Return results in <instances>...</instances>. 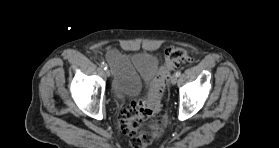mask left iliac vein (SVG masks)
Returning <instances> with one entry per match:
<instances>
[{
	"label": "left iliac vein",
	"instance_id": "obj_1",
	"mask_svg": "<svg viewBox=\"0 0 279 148\" xmlns=\"http://www.w3.org/2000/svg\"><path fill=\"white\" fill-rule=\"evenodd\" d=\"M177 81H178V77L176 76V74L172 75V77H171V83H172L173 85H175V84L177 83Z\"/></svg>",
	"mask_w": 279,
	"mask_h": 148
}]
</instances>
